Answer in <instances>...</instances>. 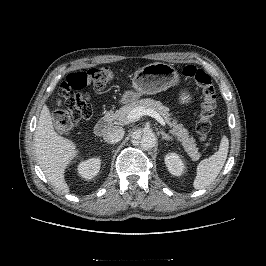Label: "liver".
I'll list each match as a JSON object with an SVG mask.
<instances>
[{"label":"liver","mask_w":266,"mask_h":266,"mask_svg":"<svg viewBox=\"0 0 266 266\" xmlns=\"http://www.w3.org/2000/svg\"><path fill=\"white\" fill-rule=\"evenodd\" d=\"M34 147L38 164L47 180L60 193H69L64 173L79 150L72 140L55 131L47 105L43 106L39 116L34 134Z\"/></svg>","instance_id":"6515ba94"}]
</instances>
